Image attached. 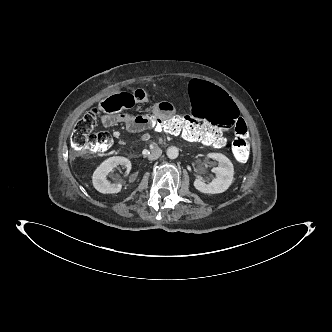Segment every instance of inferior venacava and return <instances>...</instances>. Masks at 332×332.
<instances>
[{
	"label": "inferior vena cava",
	"instance_id": "obj_1",
	"mask_svg": "<svg viewBox=\"0 0 332 332\" xmlns=\"http://www.w3.org/2000/svg\"><path fill=\"white\" fill-rule=\"evenodd\" d=\"M161 154H162V150L160 148H157V149L153 150L150 155H148V159L151 161L156 160L161 156Z\"/></svg>",
	"mask_w": 332,
	"mask_h": 332
}]
</instances>
